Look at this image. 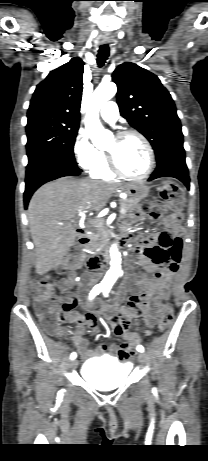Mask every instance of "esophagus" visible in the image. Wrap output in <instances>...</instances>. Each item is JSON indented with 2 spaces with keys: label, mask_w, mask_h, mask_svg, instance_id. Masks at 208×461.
Returning <instances> with one entry per match:
<instances>
[{
  "label": "esophagus",
  "mask_w": 208,
  "mask_h": 461,
  "mask_svg": "<svg viewBox=\"0 0 208 461\" xmlns=\"http://www.w3.org/2000/svg\"><path fill=\"white\" fill-rule=\"evenodd\" d=\"M108 41L107 40H103V43H107Z\"/></svg>",
  "instance_id": "34e87169"
}]
</instances>
